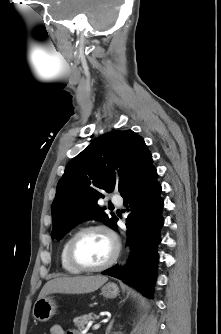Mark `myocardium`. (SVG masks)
Instances as JSON below:
<instances>
[{
    "instance_id": "myocardium-1",
    "label": "myocardium",
    "mask_w": 221,
    "mask_h": 334,
    "mask_svg": "<svg viewBox=\"0 0 221 334\" xmlns=\"http://www.w3.org/2000/svg\"><path fill=\"white\" fill-rule=\"evenodd\" d=\"M93 230H101L104 231L105 233H107L109 235V237L111 238L112 242H113V252L112 255L110 256V258L103 264L98 265V266H86L83 265L82 263H80L76 257H75V253H74V248H75V244L77 242V240L79 239L80 236H82L84 233L88 232V231H93ZM120 253V241L119 238L117 236V234L115 233V231L105 225V224H90L87 226H84L82 228H80L77 232H75L73 234V236L71 237L69 244H68V248H67V256H68V260L70 262L71 265H73L75 268H77L80 271H85V272H98V271H103L108 269L109 267H111L115 261L117 260L118 256Z\"/></svg>"
}]
</instances>
